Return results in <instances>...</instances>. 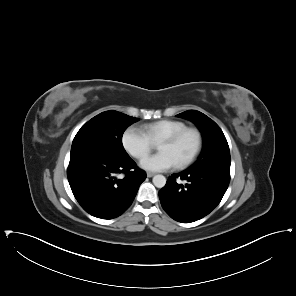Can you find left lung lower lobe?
Listing matches in <instances>:
<instances>
[{
  "mask_svg": "<svg viewBox=\"0 0 296 296\" xmlns=\"http://www.w3.org/2000/svg\"><path fill=\"white\" fill-rule=\"evenodd\" d=\"M229 181L230 169L189 168L169 177L159 191L160 202L171 218L190 223L208 215L220 203Z\"/></svg>",
  "mask_w": 296,
  "mask_h": 296,
  "instance_id": "left-lung-lower-lobe-1",
  "label": "left lung lower lobe"
}]
</instances>
